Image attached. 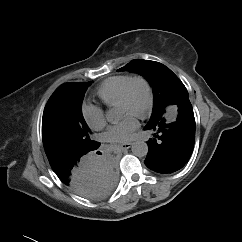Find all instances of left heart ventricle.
Returning <instances> with one entry per match:
<instances>
[{
    "label": "left heart ventricle",
    "mask_w": 242,
    "mask_h": 242,
    "mask_svg": "<svg viewBox=\"0 0 242 242\" xmlns=\"http://www.w3.org/2000/svg\"><path fill=\"white\" fill-rule=\"evenodd\" d=\"M147 100L146 89L142 83H136L131 91L130 99L127 104L118 105L120 116L125 114L135 115L141 111Z\"/></svg>",
    "instance_id": "1"
}]
</instances>
